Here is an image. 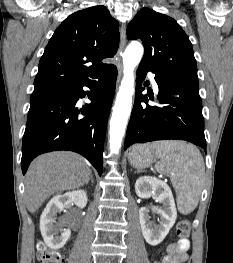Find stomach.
Listing matches in <instances>:
<instances>
[{
  "label": "stomach",
  "mask_w": 233,
  "mask_h": 263,
  "mask_svg": "<svg viewBox=\"0 0 233 263\" xmlns=\"http://www.w3.org/2000/svg\"><path fill=\"white\" fill-rule=\"evenodd\" d=\"M158 158L156 150L151 148V145H135L128 154V159L131 165L138 169L150 167Z\"/></svg>",
  "instance_id": "0dacf381"
}]
</instances>
